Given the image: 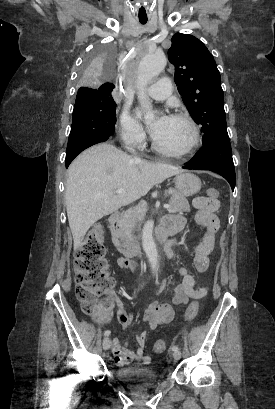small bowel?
<instances>
[{
  "mask_svg": "<svg viewBox=\"0 0 275 409\" xmlns=\"http://www.w3.org/2000/svg\"><path fill=\"white\" fill-rule=\"evenodd\" d=\"M193 205L197 212L195 215L196 221L205 227V233L201 241L196 245L194 250V263L198 272H206L210 266L211 254L215 243V234L219 228L218 214L220 212V204L218 201L210 200L207 197L198 196L193 199ZM168 222L172 220H180L182 222L181 228L185 224V218L183 217H171ZM180 228V229H181ZM177 240L174 239L173 243ZM170 259H175V254L170 248V253H167ZM130 265L127 262L119 263L120 268H127ZM178 273L182 280L179 283L172 284L167 281H162L157 287V292H162L166 289H171L174 292L173 303L174 305L186 304L189 298H201L207 293V288H201L197 290L195 288V278L192 273L185 267L180 266ZM120 313L117 315L122 328H129L132 318L124 311V303H118ZM174 316V308L170 304H162L157 302L149 303L144 312L143 319L147 323L149 329L155 330L159 325L169 323ZM146 332L141 331L136 334L135 340L138 348L135 353L129 352L127 348L124 350L121 347L120 342L117 339L113 340V353L115 362L118 365H125L132 362L135 359H140L145 366L152 364V359L149 357V352L144 351ZM128 345L131 343L129 340L126 342Z\"/></svg>",
  "mask_w": 275,
  "mask_h": 409,
  "instance_id": "small-bowel-1",
  "label": "small bowel"
}]
</instances>
